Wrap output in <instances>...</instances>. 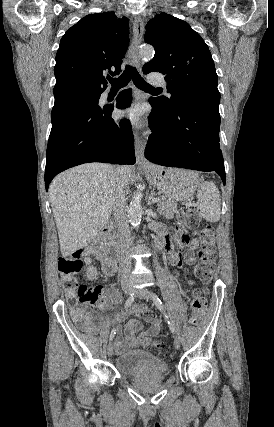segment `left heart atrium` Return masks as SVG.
<instances>
[{
    "label": "left heart atrium",
    "mask_w": 274,
    "mask_h": 427,
    "mask_svg": "<svg viewBox=\"0 0 274 427\" xmlns=\"http://www.w3.org/2000/svg\"><path fill=\"white\" fill-rule=\"evenodd\" d=\"M142 109L138 106H132L119 111V117L131 122L134 125H139L142 120Z\"/></svg>",
    "instance_id": "1"
}]
</instances>
